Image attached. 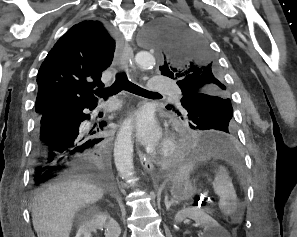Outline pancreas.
Here are the masks:
<instances>
[{
	"mask_svg": "<svg viewBox=\"0 0 297 237\" xmlns=\"http://www.w3.org/2000/svg\"><path fill=\"white\" fill-rule=\"evenodd\" d=\"M205 211L210 213V214H212V212H213V210H210V209H206Z\"/></svg>",
	"mask_w": 297,
	"mask_h": 237,
	"instance_id": "obj_1",
	"label": "pancreas"
}]
</instances>
